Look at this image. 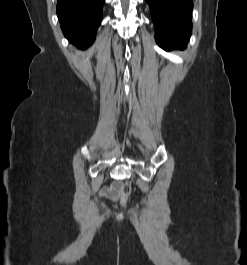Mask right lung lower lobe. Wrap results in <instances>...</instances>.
I'll return each instance as SVG.
<instances>
[{
  "label": "right lung lower lobe",
  "instance_id": "obj_1",
  "mask_svg": "<svg viewBox=\"0 0 247 265\" xmlns=\"http://www.w3.org/2000/svg\"><path fill=\"white\" fill-rule=\"evenodd\" d=\"M104 0H58L57 15L68 40L85 49L95 39Z\"/></svg>",
  "mask_w": 247,
  "mask_h": 265
}]
</instances>
